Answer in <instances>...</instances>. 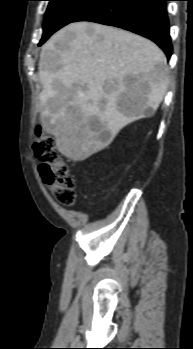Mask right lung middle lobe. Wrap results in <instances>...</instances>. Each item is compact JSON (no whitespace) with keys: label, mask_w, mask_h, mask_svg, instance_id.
Segmentation results:
<instances>
[{"label":"right lung middle lobe","mask_w":193,"mask_h":349,"mask_svg":"<svg viewBox=\"0 0 193 349\" xmlns=\"http://www.w3.org/2000/svg\"><path fill=\"white\" fill-rule=\"evenodd\" d=\"M41 46L54 32L72 22L97 0H48Z\"/></svg>","instance_id":"1"}]
</instances>
